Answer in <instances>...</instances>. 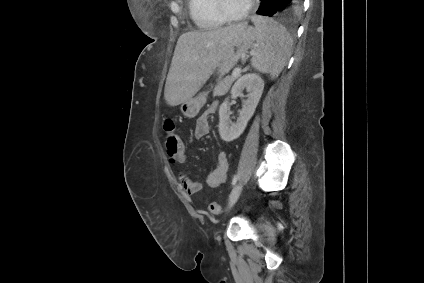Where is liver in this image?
I'll return each instance as SVG.
<instances>
[{
  "mask_svg": "<svg viewBox=\"0 0 424 283\" xmlns=\"http://www.w3.org/2000/svg\"><path fill=\"white\" fill-rule=\"evenodd\" d=\"M246 26L247 23H239L183 33L177 41L165 84L166 103L177 106L193 97Z\"/></svg>",
  "mask_w": 424,
  "mask_h": 283,
  "instance_id": "liver-1",
  "label": "liver"
}]
</instances>
